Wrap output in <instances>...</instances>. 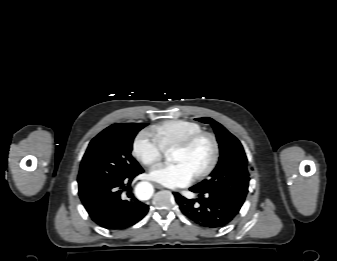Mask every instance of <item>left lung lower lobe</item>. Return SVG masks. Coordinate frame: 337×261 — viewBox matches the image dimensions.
Here are the masks:
<instances>
[{
  "instance_id": "obj_1",
  "label": "left lung lower lobe",
  "mask_w": 337,
  "mask_h": 261,
  "mask_svg": "<svg viewBox=\"0 0 337 261\" xmlns=\"http://www.w3.org/2000/svg\"><path fill=\"white\" fill-rule=\"evenodd\" d=\"M199 197L187 199L174 193L181 212L194 223L209 229H218L229 224L239 213L241 207L235 205L224 195L216 192H201L194 186L190 188Z\"/></svg>"
}]
</instances>
